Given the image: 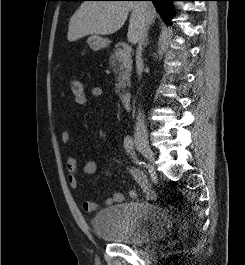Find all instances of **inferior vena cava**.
Masks as SVG:
<instances>
[{"mask_svg":"<svg viewBox=\"0 0 245 265\" xmlns=\"http://www.w3.org/2000/svg\"><path fill=\"white\" fill-rule=\"evenodd\" d=\"M151 2L142 1L140 2V7L142 9V20H141V28L139 31L138 36V47L136 51V68L137 72L140 75L141 71L143 69V60H142V51L145 44V38L147 35V31L149 29V26L152 22V13H151ZM135 131L137 135L144 134L146 132V126L144 122V116L139 111V114L137 116V121L135 125Z\"/></svg>","mask_w":245,"mask_h":265,"instance_id":"602c4592","label":"inferior vena cava"}]
</instances>
